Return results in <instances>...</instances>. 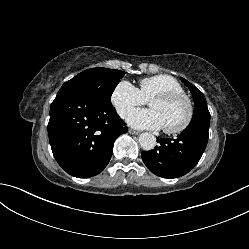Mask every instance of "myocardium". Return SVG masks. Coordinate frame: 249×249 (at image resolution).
Listing matches in <instances>:
<instances>
[{"label":"myocardium","instance_id":"1","mask_svg":"<svg viewBox=\"0 0 249 249\" xmlns=\"http://www.w3.org/2000/svg\"><path fill=\"white\" fill-rule=\"evenodd\" d=\"M176 100H183L185 102L187 106V115L179 126L173 128L163 127L164 132L167 134H178L185 131L189 127L194 117V105L192 99L184 92L162 93L151 99V101L160 102H172Z\"/></svg>","mask_w":249,"mask_h":249}]
</instances>
